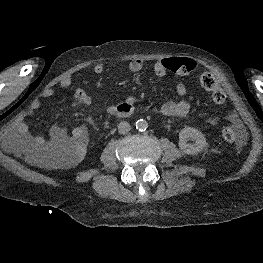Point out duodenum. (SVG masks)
Segmentation results:
<instances>
[{
  "instance_id": "1",
  "label": "duodenum",
  "mask_w": 263,
  "mask_h": 263,
  "mask_svg": "<svg viewBox=\"0 0 263 263\" xmlns=\"http://www.w3.org/2000/svg\"><path fill=\"white\" fill-rule=\"evenodd\" d=\"M137 113V109L133 104L125 103L116 107L112 112V120H122L134 116Z\"/></svg>"
}]
</instances>
